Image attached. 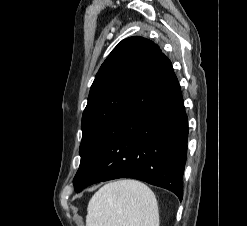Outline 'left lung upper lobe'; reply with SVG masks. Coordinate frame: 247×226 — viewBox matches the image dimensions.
<instances>
[{
	"instance_id": "obj_1",
	"label": "left lung upper lobe",
	"mask_w": 247,
	"mask_h": 226,
	"mask_svg": "<svg viewBox=\"0 0 247 226\" xmlns=\"http://www.w3.org/2000/svg\"><path fill=\"white\" fill-rule=\"evenodd\" d=\"M160 54L159 46L149 39L130 37L122 40L104 61L91 86L82 116L78 172ZM78 172L74 186L80 181Z\"/></svg>"
}]
</instances>
